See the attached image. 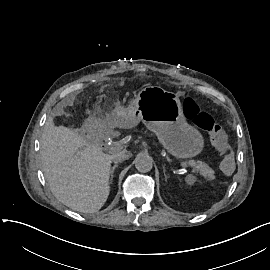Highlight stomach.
Segmentation results:
<instances>
[{
    "label": "stomach",
    "mask_w": 270,
    "mask_h": 270,
    "mask_svg": "<svg viewBox=\"0 0 270 270\" xmlns=\"http://www.w3.org/2000/svg\"><path fill=\"white\" fill-rule=\"evenodd\" d=\"M120 117L125 127L128 123L134 127L142 121L176 158H191L203 149V137L186 122L178 96L159 86L141 89Z\"/></svg>",
    "instance_id": "obj_1"
}]
</instances>
